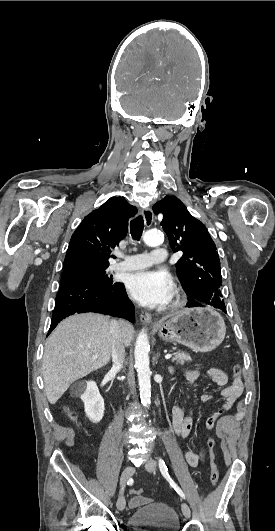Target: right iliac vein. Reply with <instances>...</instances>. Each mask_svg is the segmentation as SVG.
Wrapping results in <instances>:
<instances>
[{"mask_svg": "<svg viewBox=\"0 0 275 531\" xmlns=\"http://www.w3.org/2000/svg\"><path fill=\"white\" fill-rule=\"evenodd\" d=\"M134 473H135V468L133 466L128 465L127 467H125V469L122 472L121 479H120L121 487L125 486V484L128 482V480L131 479ZM125 506H126L125 498L123 496V493H121L117 500V508L118 510L123 511L125 509Z\"/></svg>", "mask_w": 275, "mask_h": 531, "instance_id": "right-iliac-vein-1", "label": "right iliac vein"}]
</instances>
